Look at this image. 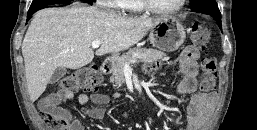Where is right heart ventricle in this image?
Listing matches in <instances>:
<instances>
[{
	"mask_svg": "<svg viewBox=\"0 0 257 130\" xmlns=\"http://www.w3.org/2000/svg\"><path fill=\"white\" fill-rule=\"evenodd\" d=\"M118 8L128 14H139L144 11L139 0H118Z\"/></svg>",
	"mask_w": 257,
	"mask_h": 130,
	"instance_id": "1",
	"label": "right heart ventricle"
}]
</instances>
